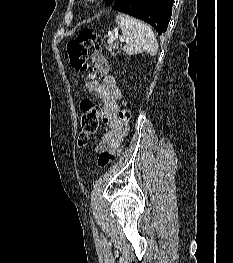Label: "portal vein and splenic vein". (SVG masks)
Segmentation results:
<instances>
[{
  "label": "portal vein and splenic vein",
  "mask_w": 233,
  "mask_h": 263,
  "mask_svg": "<svg viewBox=\"0 0 233 263\" xmlns=\"http://www.w3.org/2000/svg\"><path fill=\"white\" fill-rule=\"evenodd\" d=\"M118 38L120 39L121 42H125L126 41L124 37L118 36V34H111L109 39H108V42L109 43H113Z\"/></svg>",
  "instance_id": "obj_1"
}]
</instances>
